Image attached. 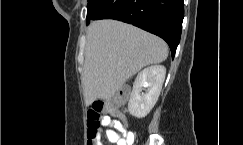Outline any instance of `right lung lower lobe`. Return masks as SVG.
I'll use <instances>...</instances> for the list:
<instances>
[{
  "instance_id": "98d812e1",
  "label": "right lung lower lobe",
  "mask_w": 243,
  "mask_h": 145,
  "mask_svg": "<svg viewBox=\"0 0 243 145\" xmlns=\"http://www.w3.org/2000/svg\"><path fill=\"white\" fill-rule=\"evenodd\" d=\"M183 17V0H93L87 6L86 23L115 19L133 24L163 38L174 57Z\"/></svg>"
}]
</instances>
